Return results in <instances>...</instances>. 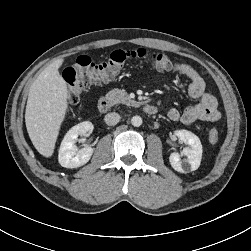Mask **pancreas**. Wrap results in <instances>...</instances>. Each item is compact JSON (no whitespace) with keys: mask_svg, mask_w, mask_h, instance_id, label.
I'll list each match as a JSON object with an SVG mask.
<instances>
[{"mask_svg":"<svg viewBox=\"0 0 251 251\" xmlns=\"http://www.w3.org/2000/svg\"><path fill=\"white\" fill-rule=\"evenodd\" d=\"M108 100L113 104H127L131 105L133 101L130 99L129 95L125 90L113 89L106 94Z\"/></svg>","mask_w":251,"mask_h":251,"instance_id":"cf45deb5","label":"pancreas"}]
</instances>
